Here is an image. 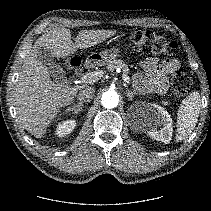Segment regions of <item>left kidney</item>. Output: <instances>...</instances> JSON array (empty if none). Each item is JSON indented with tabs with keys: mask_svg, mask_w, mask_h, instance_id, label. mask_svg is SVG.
<instances>
[{
	"mask_svg": "<svg viewBox=\"0 0 211 211\" xmlns=\"http://www.w3.org/2000/svg\"><path fill=\"white\" fill-rule=\"evenodd\" d=\"M147 133L155 140L161 141L165 144L169 143L172 137V119L169 113L161 106L151 104V113L146 118ZM163 125L158 129L159 125Z\"/></svg>",
	"mask_w": 211,
	"mask_h": 211,
	"instance_id": "left-kidney-1",
	"label": "left kidney"
}]
</instances>
